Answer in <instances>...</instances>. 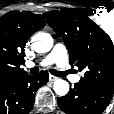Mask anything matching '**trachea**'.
<instances>
[{"label": "trachea", "mask_w": 114, "mask_h": 114, "mask_svg": "<svg viewBox=\"0 0 114 114\" xmlns=\"http://www.w3.org/2000/svg\"><path fill=\"white\" fill-rule=\"evenodd\" d=\"M49 71L52 75L57 76V77H64L65 76L64 72H60V71H57V70H54V69H50ZM38 72H39L38 67L31 68V70H30L31 75H34Z\"/></svg>", "instance_id": "3493384b"}]
</instances>
